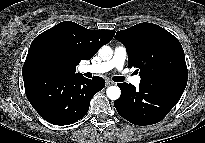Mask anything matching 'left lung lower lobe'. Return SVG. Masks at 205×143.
<instances>
[{
    "label": "left lung lower lobe",
    "mask_w": 205,
    "mask_h": 143,
    "mask_svg": "<svg viewBox=\"0 0 205 143\" xmlns=\"http://www.w3.org/2000/svg\"><path fill=\"white\" fill-rule=\"evenodd\" d=\"M186 75H169L141 80L139 89L119 83L121 97L114 102L120 116L135 125L161 121L178 103L187 85Z\"/></svg>",
    "instance_id": "left-lung-lower-lobe-1"
}]
</instances>
